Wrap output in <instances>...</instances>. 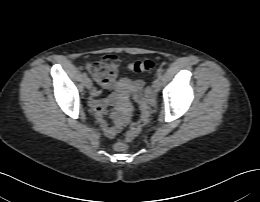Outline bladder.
Instances as JSON below:
<instances>
[{"instance_id": "1", "label": "bladder", "mask_w": 260, "mask_h": 202, "mask_svg": "<svg viewBox=\"0 0 260 202\" xmlns=\"http://www.w3.org/2000/svg\"><path fill=\"white\" fill-rule=\"evenodd\" d=\"M132 81L128 78H121L116 83L117 93L123 99H127L130 96L132 89Z\"/></svg>"}]
</instances>
